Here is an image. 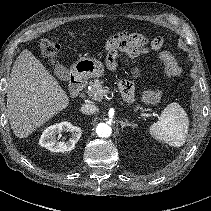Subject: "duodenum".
Returning a JSON list of instances; mask_svg holds the SVG:
<instances>
[{
  "instance_id": "410a0bca",
  "label": "duodenum",
  "mask_w": 211,
  "mask_h": 211,
  "mask_svg": "<svg viewBox=\"0 0 211 211\" xmlns=\"http://www.w3.org/2000/svg\"><path fill=\"white\" fill-rule=\"evenodd\" d=\"M84 88V80L79 73L70 75V93L73 97H78Z\"/></svg>"
}]
</instances>
